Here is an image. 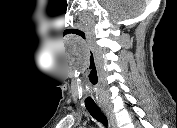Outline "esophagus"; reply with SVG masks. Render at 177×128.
Masks as SVG:
<instances>
[{
	"instance_id": "esophagus-1",
	"label": "esophagus",
	"mask_w": 177,
	"mask_h": 128,
	"mask_svg": "<svg viewBox=\"0 0 177 128\" xmlns=\"http://www.w3.org/2000/svg\"><path fill=\"white\" fill-rule=\"evenodd\" d=\"M101 109L104 112V114L107 116L108 121L111 125V128H118L117 122L115 120V117H114L111 109L106 105H102Z\"/></svg>"
}]
</instances>
